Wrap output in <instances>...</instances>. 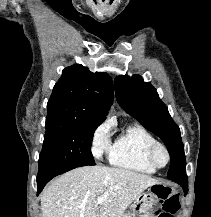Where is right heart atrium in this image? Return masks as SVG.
Masks as SVG:
<instances>
[{"mask_svg":"<svg viewBox=\"0 0 211 217\" xmlns=\"http://www.w3.org/2000/svg\"><path fill=\"white\" fill-rule=\"evenodd\" d=\"M111 147V126L105 122L94 130L91 138V150L95 157L101 158L111 151Z\"/></svg>","mask_w":211,"mask_h":217,"instance_id":"d8ad5b80","label":"right heart atrium"}]
</instances>
